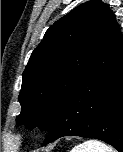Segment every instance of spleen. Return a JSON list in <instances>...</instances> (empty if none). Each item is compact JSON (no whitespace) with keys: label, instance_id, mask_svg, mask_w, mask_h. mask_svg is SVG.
Segmentation results:
<instances>
[{"label":"spleen","instance_id":"1","mask_svg":"<svg viewBox=\"0 0 123 152\" xmlns=\"http://www.w3.org/2000/svg\"><path fill=\"white\" fill-rule=\"evenodd\" d=\"M71 152H115L111 147L97 140H88L75 146Z\"/></svg>","mask_w":123,"mask_h":152}]
</instances>
